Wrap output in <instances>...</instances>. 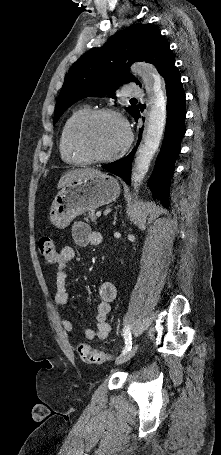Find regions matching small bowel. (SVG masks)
Wrapping results in <instances>:
<instances>
[{"instance_id":"c3829d8e","label":"small bowel","mask_w":221,"mask_h":455,"mask_svg":"<svg viewBox=\"0 0 221 455\" xmlns=\"http://www.w3.org/2000/svg\"><path fill=\"white\" fill-rule=\"evenodd\" d=\"M72 238L76 245L99 246L103 241L101 233L93 231L89 226L83 223H77L72 230ZM75 258V250L71 246H65L60 251V260L58 263V272L55 282L54 301L57 305H65L69 302V293L67 291V267ZM116 287L112 282L105 281L99 287L100 301L96 307V328H86L84 336L87 340H105L110 332L111 325L108 322V315L111 310V304L116 298ZM62 328L67 332L73 331V324L68 319L61 320Z\"/></svg>"}]
</instances>
